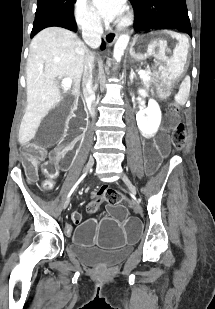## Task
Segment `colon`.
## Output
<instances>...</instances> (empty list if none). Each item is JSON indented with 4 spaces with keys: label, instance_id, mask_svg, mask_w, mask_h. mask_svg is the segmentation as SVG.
<instances>
[{
    "label": "colon",
    "instance_id": "colon-1",
    "mask_svg": "<svg viewBox=\"0 0 215 309\" xmlns=\"http://www.w3.org/2000/svg\"><path fill=\"white\" fill-rule=\"evenodd\" d=\"M174 109V106H171ZM172 143L177 150H181L186 142V131L185 125L182 122H178L172 131L171 135ZM38 157L35 155H27L25 157L24 165L26 167L27 173L30 175L35 174L37 169ZM45 173L47 175L46 179L42 183L44 190H51L54 186V181L58 175V165L56 162H49L45 166ZM105 199L111 205L120 204L123 200L121 193L115 190H104L100 195H96L88 204L89 212H96L99 208V204Z\"/></svg>",
    "mask_w": 215,
    "mask_h": 309
}]
</instances>
